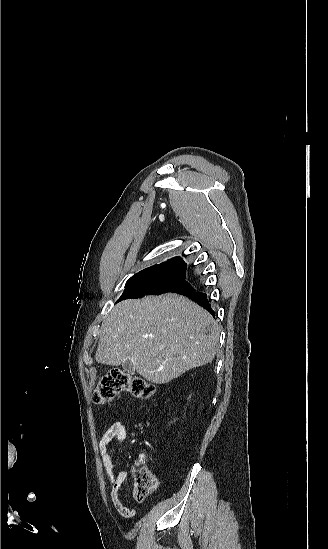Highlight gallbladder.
I'll return each mask as SVG.
<instances>
[{"label": "gallbladder", "instance_id": "gallbladder-1", "mask_svg": "<svg viewBox=\"0 0 328 549\" xmlns=\"http://www.w3.org/2000/svg\"><path fill=\"white\" fill-rule=\"evenodd\" d=\"M122 369L126 371L127 375H135V367L131 359H127V361H124V363H122Z\"/></svg>", "mask_w": 328, "mask_h": 549}]
</instances>
